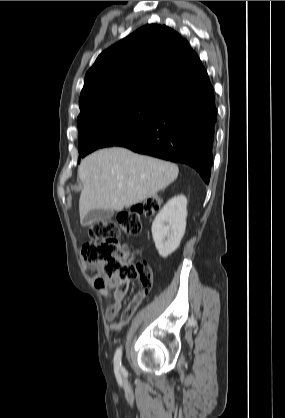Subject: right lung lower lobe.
<instances>
[{
  "mask_svg": "<svg viewBox=\"0 0 285 418\" xmlns=\"http://www.w3.org/2000/svg\"><path fill=\"white\" fill-rule=\"evenodd\" d=\"M217 109L209 77L164 105L160 115L135 135L115 146L196 169L210 180Z\"/></svg>",
  "mask_w": 285,
  "mask_h": 418,
  "instance_id": "obj_1",
  "label": "right lung lower lobe"
}]
</instances>
